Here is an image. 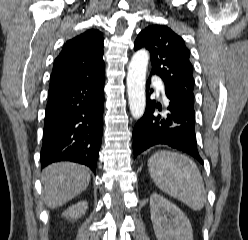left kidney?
<instances>
[{"label":"left kidney","mask_w":248,"mask_h":240,"mask_svg":"<svg viewBox=\"0 0 248 240\" xmlns=\"http://www.w3.org/2000/svg\"><path fill=\"white\" fill-rule=\"evenodd\" d=\"M150 213L157 240H193L189 219L161 195H151Z\"/></svg>","instance_id":"obj_1"}]
</instances>
